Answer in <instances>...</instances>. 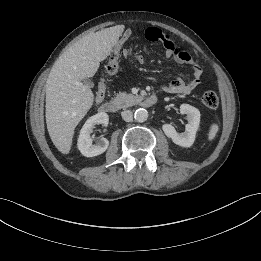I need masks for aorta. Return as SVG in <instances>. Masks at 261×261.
Masks as SVG:
<instances>
[{
  "label": "aorta",
  "mask_w": 261,
  "mask_h": 261,
  "mask_svg": "<svg viewBox=\"0 0 261 261\" xmlns=\"http://www.w3.org/2000/svg\"><path fill=\"white\" fill-rule=\"evenodd\" d=\"M134 119L137 122H144L148 119V112L144 108H139L134 113Z\"/></svg>",
  "instance_id": "762f6f07"
}]
</instances>
